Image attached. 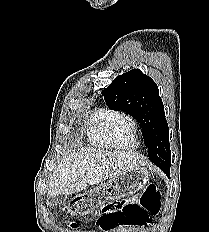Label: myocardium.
<instances>
[{"label": "myocardium", "instance_id": "f54148a6", "mask_svg": "<svg viewBox=\"0 0 209 232\" xmlns=\"http://www.w3.org/2000/svg\"><path fill=\"white\" fill-rule=\"evenodd\" d=\"M122 120H127L129 121L132 126H133V137L136 138L137 137V133H138V129H139V126H138V122L137 120L129 115V114H125V113H120L118 116H116L114 118V120L111 122L110 126H109V136H110V139L111 141L118 147V148H121V149H131V147H127V146H124L123 144H121L118 139L116 138L115 134H114V131H113V128H114V125L119 122V121H122Z\"/></svg>", "mask_w": 209, "mask_h": 232}]
</instances>
